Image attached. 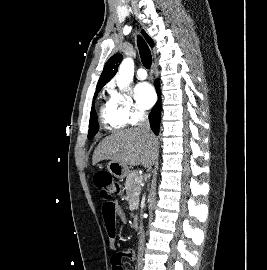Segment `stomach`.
Here are the masks:
<instances>
[{
    "label": "stomach",
    "instance_id": "stomach-1",
    "mask_svg": "<svg viewBox=\"0 0 267 270\" xmlns=\"http://www.w3.org/2000/svg\"><path fill=\"white\" fill-rule=\"evenodd\" d=\"M108 171L118 179H123L129 174L128 166L116 161H110L106 164Z\"/></svg>",
    "mask_w": 267,
    "mask_h": 270
}]
</instances>
